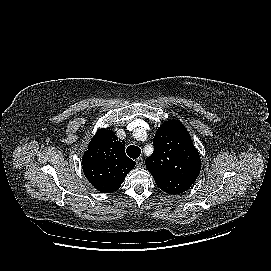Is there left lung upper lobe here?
Wrapping results in <instances>:
<instances>
[{
    "label": "left lung upper lobe",
    "instance_id": "1",
    "mask_svg": "<svg viewBox=\"0 0 271 271\" xmlns=\"http://www.w3.org/2000/svg\"><path fill=\"white\" fill-rule=\"evenodd\" d=\"M154 152L146 167L157 186L168 194H179L178 182L192 185L200 169V156L185 126L174 119L166 121L156 131Z\"/></svg>",
    "mask_w": 271,
    "mask_h": 271
}]
</instances>
